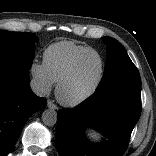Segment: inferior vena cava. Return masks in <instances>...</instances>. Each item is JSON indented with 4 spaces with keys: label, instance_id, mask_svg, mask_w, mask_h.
Returning a JSON list of instances; mask_svg holds the SVG:
<instances>
[{
    "label": "inferior vena cava",
    "instance_id": "obj_1",
    "mask_svg": "<svg viewBox=\"0 0 156 156\" xmlns=\"http://www.w3.org/2000/svg\"><path fill=\"white\" fill-rule=\"evenodd\" d=\"M30 86L34 94H36L37 96L43 97L46 95L47 89L44 83H42L41 81L32 79L30 82Z\"/></svg>",
    "mask_w": 156,
    "mask_h": 156
}]
</instances>
